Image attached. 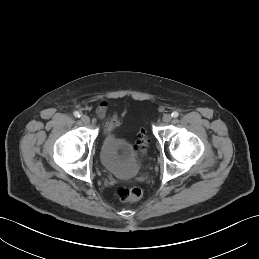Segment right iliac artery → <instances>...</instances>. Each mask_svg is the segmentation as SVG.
<instances>
[{"label":"right iliac artery","mask_w":259,"mask_h":259,"mask_svg":"<svg viewBox=\"0 0 259 259\" xmlns=\"http://www.w3.org/2000/svg\"><path fill=\"white\" fill-rule=\"evenodd\" d=\"M74 116L79 118L81 116V114L78 111H75Z\"/></svg>","instance_id":"obj_1"}]
</instances>
